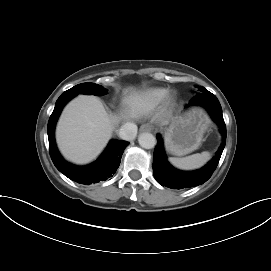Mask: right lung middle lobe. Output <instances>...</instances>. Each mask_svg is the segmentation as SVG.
<instances>
[{
	"label": "right lung middle lobe",
	"mask_w": 271,
	"mask_h": 271,
	"mask_svg": "<svg viewBox=\"0 0 271 271\" xmlns=\"http://www.w3.org/2000/svg\"><path fill=\"white\" fill-rule=\"evenodd\" d=\"M77 94H93L97 96H102L107 94V90L101 85L94 83H82L74 86L73 88L65 91L63 95L75 96Z\"/></svg>",
	"instance_id": "obj_1"
}]
</instances>
